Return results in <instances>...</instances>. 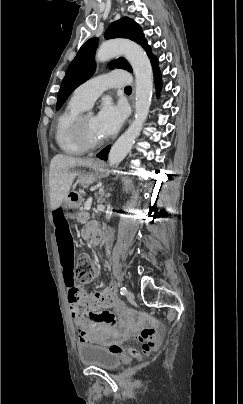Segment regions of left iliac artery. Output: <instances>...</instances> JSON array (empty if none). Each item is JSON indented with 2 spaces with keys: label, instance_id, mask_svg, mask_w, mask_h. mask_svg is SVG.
<instances>
[{
  "label": "left iliac artery",
  "instance_id": "left-iliac-artery-1",
  "mask_svg": "<svg viewBox=\"0 0 243 404\" xmlns=\"http://www.w3.org/2000/svg\"><path fill=\"white\" fill-rule=\"evenodd\" d=\"M120 293H121V295H126L127 289L125 287H121Z\"/></svg>",
  "mask_w": 243,
  "mask_h": 404
}]
</instances>
